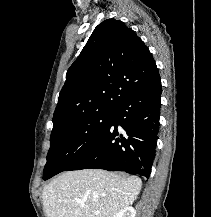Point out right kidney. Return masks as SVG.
<instances>
[{"instance_id": "ca27d5eb", "label": "right kidney", "mask_w": 211, "mask_h": 217, "mask_svg": "<svg viewBox=\"0 0 211 217\" xmlns=\"http://www.w3.org/2000/svg\"><path fill=\"white\" fill-rule=\"evenodd\" d=\"M136 211L133 207L128 206L121 211H119L117 214H115L113 217H135Z\"/></svg>"}]
</instances>
